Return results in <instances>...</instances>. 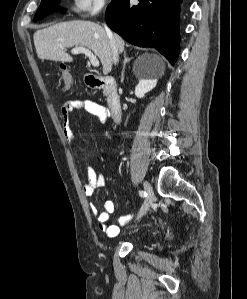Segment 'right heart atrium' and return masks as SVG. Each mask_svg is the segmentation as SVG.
<instances>
[{"mask_svg":"<svg viewBox=\"0 0 247 299\" xmlns=\"http://www.w3.org/2000/svg\"><path fill=\"white\" fill-rule=\"evenodd\" d=\"M106 0H73L71 10L73 13L81 14H96L105 6Z\"/></svg>","mask_w":247,"mask_h":299,"instance_id":"right-heart-atrium-1","label":"right heart atrium"}]
</instances>
